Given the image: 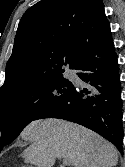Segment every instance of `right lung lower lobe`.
I'll return each mask as SVG.
<instances>
[{"label": "right lung lower lobe", "mask_w": 125, "mask_h": 167, "mask_svg": "<svg viewBox=\"0 0 125 167\" xmlns=\"http://www.w3.org/2000/svg\"><path fill=\"white\" fill-rule=\"evenodd\" d=\"M75 69L88 86H73L33 120L59 118L78 123L103 136L123 154L120 76L110 27L86 48Z\"/></svg>", "instance_id": "1"}]
</instances>
